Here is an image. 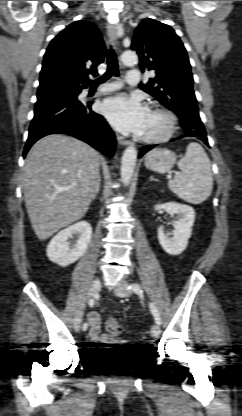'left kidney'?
<instances>
[{
    "label": "left kidney",
    "mask_w": 242,
    "mask_h": 416,
    "mask_svg": "<svg viewBox=\"0 0 242 416\" xmlns=\"http://www.w3.org/2000/svg\"><path fill=\"white\" fill-rule=\"evenodd\" d=\"M156 210H165L167 213L178 215V220L173 221V237L164 233L163 226L158 228V240L164 251L170 255L181 254L188 245L192 234V226L195 220V211L192 207L176 202H167L155 206Z\"/></svg>",
    "instance_id": "left-kidney-1"
}]
</instances>
